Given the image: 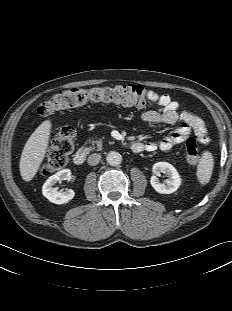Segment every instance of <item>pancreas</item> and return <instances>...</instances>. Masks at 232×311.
I'll list each match as a JSON object with an SVG mask.
<instances>
[{
    "instance_id": "cf45deb5",
    "label": "pancreas",
    "mask_w": 232,
    "mask_h": 311,
    "mask_svg": "<svg viewBox=\"0 0 232 311\" xmlns=\"http://www.w3.org/2000/svg\"><path fill=\"white\" fill-rule=\"evenodd\" d=\"M90 143H92V147H89L90 150H93L97 147V150L100 151L102 150V139H99V140H92V141H89ZM96 145V147H95Z\"/></svg>"
}]
</instances>
